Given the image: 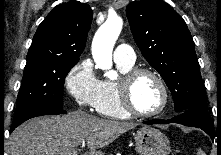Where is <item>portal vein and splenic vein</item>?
Segmentation results:
<instances>
[{
  "instance_id": "portal-vein-and-splenic-vein-1",
  "label": "portal vein and splenic vein",
  "mask_w": 221,
  "mask_h": 155,
  "mask_svg": "<svg viewBox=\"0 0 221 155\" xmlns=\"http://www.w3.org/2000/svg\"><path fill=\"white\" fill-rule=\"evenodd\" d=\"M71 155H77V152H73V153H71Z\"/></svg>"
}]
</instances>
